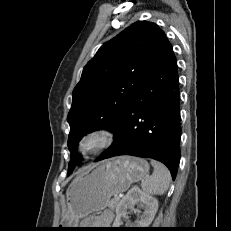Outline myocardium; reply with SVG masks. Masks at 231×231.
<instances>
[{"label": "myocardium", "instance_id": "myocardium-1", "mask_svg": "<svg viewBox=\"0 0 231 231\" xmlns=\"http://www.w3.org/2000/svg\"><path fill=\"white\" fill-rule=\"evenodd\" d=\"M88 140H95L96 146L92 149H85L84 143ZM115 141V133L105 127L93 128L84 133L78 140V151L85 156L99 154L109 148Z\"/></svg>", "mask_w": 231, "mask_h": 231}]
</instances>
